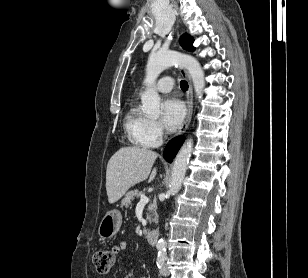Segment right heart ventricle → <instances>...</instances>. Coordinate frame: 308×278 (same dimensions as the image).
I'll use <instances>...</instances> for the list:
<instances>
[{
	"label": "right heart ventricle",
	"instance_id": "right-heart-ventricle-1",
	"mask_svg": "<svg viewBox=\"0 0 308 278\" xmlns=\"http://www.w3.org/2000/svg\"><path fill=\"white\" fill-rule=\"evenodd\" d=\"M148 119L139 111L134 102L127 110L124 119V127L129 140L138 146H147L145 141V132Z\"/></svg>",
	"mask_w": 308,
	"mask_h": 278
}]
</instances>
